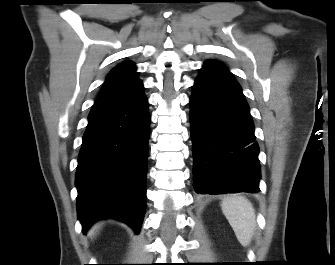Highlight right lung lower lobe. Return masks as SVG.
I'll return each instance as SVG.
<instances>
[{
  "label": "right lung lower lobe",
  "mask_w": 335,
  "mask_h": 265,
  "mask_svg": "<svg viewBox=\"0 0 335 265\" xmlns=\"http://www.w3.org/2000/svg\"><path fill=\"white\" fill-rule=\"evenodd\" d=\"M149 121L144 92L92 107L76 172L78 219L84 233L103 218L123 221L140 231Z\"/></svg>",
  "instance_id": "obj_1"
}]
</instances>
